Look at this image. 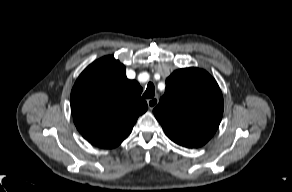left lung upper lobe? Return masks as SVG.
Listing matches in <instances>:
<instances>
[{
  "label": "left lung upper lobe",
  "mask_w": 292,
  "mask_h": 192,
  "mask_svg": "<svg viewBox=\"0 0 292 192\" xmlns=\"http://www.w3.org/2000/svg\"><path fill=\"white\" fill-rule=\"evenodd\" d=\"M153 113L172 141L197 148L216 132L223 115V96L206 71L179 69L166 79L165 94Z\"/></svg>",
  "instance_id": "left-lung-upper-lobe-1"
}]
</instances>
